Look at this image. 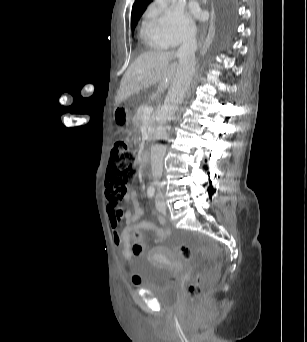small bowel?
Segmentation results:
<instances>
[{
    "label": "small bowel",
    "instance_id": "obj_1",
    "mask_svg": "<svg viewBox=\"0 0 307 342\" xmlns=\"http://www.w3.org/2000/svg\"><path fill=\"white\" fill-rule=\"evenodd\" d=\"M108 194V193H107ZM127 201L132 206V210H127L122 213L114 211L112 206L108 207V214L110 220V226L112 229V238L114 244L120 249L121 255L128 259L129 255H139L140 253H128L127 240L129 237L130 229H141V233L144 230L154 231V243L161 244L169 236V229L165 226L156 227L152 222L142 220L143 211L137 203L136 193L131 192L127 196ZM125 220L126 225L120 229L119 224L122 220ZM161 224H164V219H159Z\"/></svg>",
    "mask_w": 307,
    "mask_h": 342
}]
</instances>
